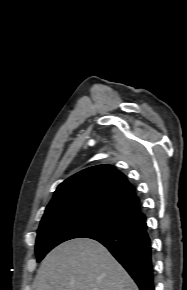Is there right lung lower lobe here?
I'll return each mask as SVG.
<instances>
[{"instance_id":"98d812e1","label":"right lung lower lobe","mask_w":187,"mask_h":290,"mask_svg":"<svg viewBox=\"0 0 187 290\" xmlns=\"http://www.w3.org/2000/svg\"><path fill=\"white\" fill-rule=\"evenodd\" d=\"M145 218L88 238L102 243L127 270L140 290H154L151 244Z\"/></svg>"}]
</instances>
